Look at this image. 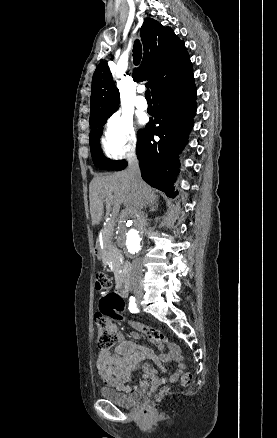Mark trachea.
<instances>
[{"label":"trachea","instance_id":"trachea-1","mask_svg":"<svg viewBox=\"0 0 277 438\" xmlns=\"http://www.w3.org/2000/svg\"><path fill=\"white\" fill-rule=\"evenodd\" d=\"M141 57H142L141 43L139 42V40H135L133 46V59L135 65H138L140 63ZM145 98L147 100H151L150 90L145 91Z\"/></svg>","mask_w":277,"mask_h":438}]
</instances>
